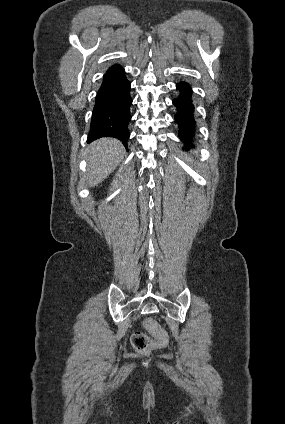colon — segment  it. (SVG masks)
I'll use <instances>...</instances> for the list:
<instances>
[{"label": "colon", "mask_w": 285, "mask_h": 424, "mask_svg": "<svg viewBox=\"0 0 285 424\" xmlns=\"http://www.w3.org/2000/svg\"><path fill=\"white\" fill-rule=\"evenodd\" d=\"M144 324L151 334V337L143 332H135L132 335L131 341L137 352L147 354L152 350L163 346L167 341V334L153 319H146Z\"/></svg>", "instance_id": "obj_1"}]
</instances>
